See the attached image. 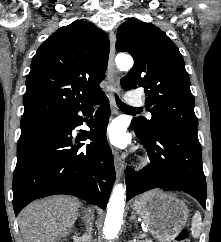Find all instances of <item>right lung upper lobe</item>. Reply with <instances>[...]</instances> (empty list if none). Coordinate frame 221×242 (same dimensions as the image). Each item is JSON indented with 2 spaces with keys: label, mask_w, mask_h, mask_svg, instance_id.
I'll return each instance as SVG.
<instances>
[{
  "label": "right lung upper lobe",
  "mask_w": 221,
  "mask_h": 242,
  "mask_svg": "<svg viewBox=\"0 0 221 242\" xmlns=\"http://www.w3.org/2000/svg\"><path fill=\"white\" fill-rule=\"evenodd\" d=\"M108 36L78 20L59 28L31 62L21 124L53 116L97 98L109 55Z\"/></svg>",
  "instance_id": "obj_1"
}]
</instances>
